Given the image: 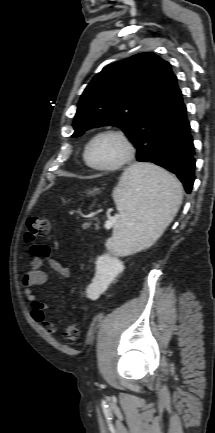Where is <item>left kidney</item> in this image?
<instances>
[{"instance_id":"obj_1","label":"left kidney","mask_w":215,"mask_h":433,"mask_svg":"<svg viewBox=\"0 0 215 433\" xmlns=\"http://www.w3.org/2000/svg\"><path fill=\"white\" fill-rule=\"evenodd\" d=\"M123 270V262L118 258L109 254L99 256L96 260L95 276L86 289V296L91 300H97Z\"/></svg>"}]
</instances>
